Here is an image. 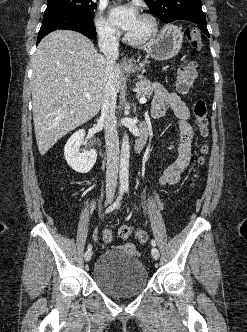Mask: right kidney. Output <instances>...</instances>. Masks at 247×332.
<instances>
[{"mask_svg": "<svg viewBox=\"0 0 247 332\" xmlns=\"http://www.w3.org/2000/svg\"><path fill=\"white\" fill-rule=\"evenodd\" d=\"M83 144H85V130L80 129L68 139L64 147V156L68 165L78 173H88L97 159L94 149L82 151Z\"/></svg>", "mask_w": 247, "mask_h": 332, "instance_id": "right-kidney-1", "label": "right kidney"}]
</instances>
